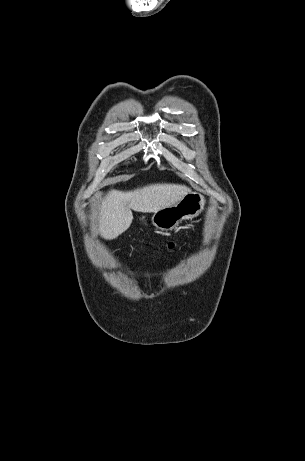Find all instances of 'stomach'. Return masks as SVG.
I'll list each match as a JSON object with an SVG mask.
<instances>
[{
    "instance_id": "obj_1",
    "label": "stomach",
    "mask_w": 305,
    "mask_h": 461,
    "mask_svg": "<svg viewBox=\"0 0 305 461\" xmlns=\"http://www.w3.org/2000/svg\"><path fill=\"white\" fill-rule=\"evenodd\" d=\"M205 204L204 195L189 192L176 205L155 212L151 222L156 228L169 231L176 228L182 220L198 216L204 210Z\"/></svg>"
}]
</instances>
